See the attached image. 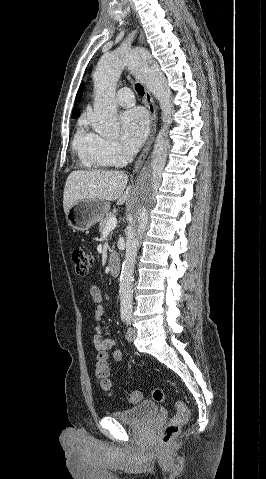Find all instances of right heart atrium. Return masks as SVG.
<instances>
[{
	"instance_id": "obj_1",
	"label": "right heart atrium",
	"mask_w": 266,
	"mask_h": 479,
	"mask_svg": "<svg viewBox=\"0 0 266 479\" xmlns=\"http://www.w3.org/2000/svg\"><path fill=\"white\" fill-rule=\"evenodd\" d=\"M100 151L112 166H123L130 159V153L116 139L100 137Z\"/></svg>"
}]
</instances>
